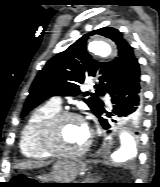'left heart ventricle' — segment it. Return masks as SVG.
Returning a JSON list of instances; mask_svg holds the SVG:
<instances>
[{
    "label": "left heart ventricle",
    "mask_w": 160,
    "mask_h": 187,
    "mask_svg": "<svg viewBox=\"0 0 160 187\" xmlns=\"http://www.w3.org/2000/svg\"><path fill=\"white\" fill-rule=\"evenodd\" d=\"M88 140L86 125L77 119H69L63 122L59 134V146L65 151H77Z\"/></svg>",
    "instance_id": "left-heart-ventricle-1"
}]
</instances>
